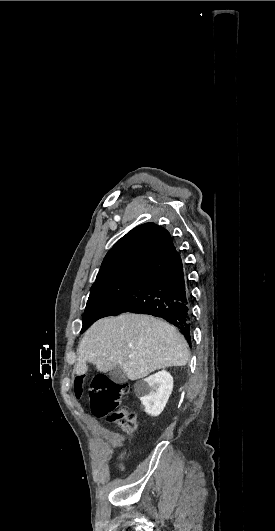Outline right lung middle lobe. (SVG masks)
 <instances>
[{"label":"right lung middle lobe","mask_w":275,"mask_h":531,"mask_svg":"<svg viewBox=\"0 0 275 531\" xmlns=\"http://www.w3.org/2000/svg\"><path fill=\"white\" fill-rule=\"evenodd\" d=\"M145 267H130L96 279L90 289L81 332L102 318L103 314L134 284Z\"/></svg>","instance_id":"dd1d6c3e"}]
</instances>
